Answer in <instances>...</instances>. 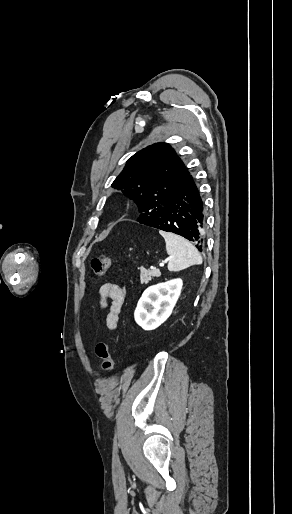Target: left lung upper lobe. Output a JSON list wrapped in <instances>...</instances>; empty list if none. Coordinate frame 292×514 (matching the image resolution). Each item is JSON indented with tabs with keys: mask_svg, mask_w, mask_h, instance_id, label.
<instances>
[{
	"mask_svg": "<svg viewBox=\"0 0 292 514\" xmlns=\"http://www.w3.org/2000/svg\"><path fill=\"white\" fill-rule=\"evenodd\" d=\"M189 174L169 144L155 143L129 158L111 186L137 203L140 212L137 221L146 224L161 213Z\"/></svg>",
	"mask_w": 292,
	"mask_h": 514,
	"instance_id": "1",
	"label": "left lung upper lobe"
}]
</instances>
